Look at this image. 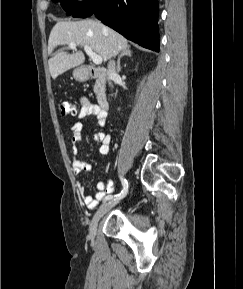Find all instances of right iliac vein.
Returning <instances> with one entry per match:
<instances>
[{"label": "right iliac vein", "instance_id": "1", "mask_svg": "<svg viewBox=\"0 0 243 289\" xmlns=\"http://www.w3.org/2000/svg\"><path fill=\"white\" fill-rule=\"evenodd\" d=\"M119 202V199H111L108 202L102 204L97 212L95 213L90 226H89V234L90 236L94 237L96 234L97 226L99 220L111 209L113 208L117 203Z\"/></svg>", "mask_w": 243, "mask_h": 289}]
</instances>
